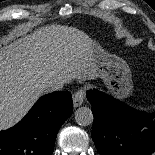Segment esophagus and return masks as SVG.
<instances>
[{"label": "esophagus", "instance_id": "esophagus-1", "mask_svg": "<svg viewBox=\"0 0 155 155\" xmlns=\"http://www.w3.org/2000/svg\"><path fill=\"white\" fill-rule=\"evenodd\" d=\"M84 97H85L84 89H79L77 92L73 94L72 98H73V105L75 108L79 107L83 103Z\"/></svg>", "mask_w": 155, "mask_h": 155}]
</instances>
